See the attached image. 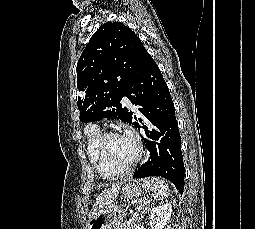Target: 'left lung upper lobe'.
<instances>
[{"label": "left lung upper lobe", "instance_id": "left-lung-upper-lobe-1", "mask_svg": "<svg viewBox=\"0 0 255 229\" xmlns=\"http://www.w3.org/2000/svg\"><path fill=\"white\" fill-rule=\"evenodd\" d=\"M144 50L140 38L124 24L100 26L77 63L80 121L111 118L127 122L128 109L120 102Z\"/></svg>", "mask_w": 255, "mask_h": 229}]
</instances>
